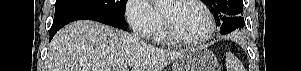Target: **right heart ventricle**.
<instances>
[{
    "mask_svg": "<svg viewBox=\"0 0 301 71\" xmlns=\"http://www.w3.org/2000/svg\"><path fill=\"white\" fill-rule=\"evenodd\" d=\"M151 38L158 43L170 42V38L166 34L165 29L163 27H159L158 30L154 33V35Z\"/></svg>",
    "mask_w": 301,
    "mask_h": 71,
    "instance_id": "e07e8e85",
    "label": "right heart ventricle"
}]
</instances>
